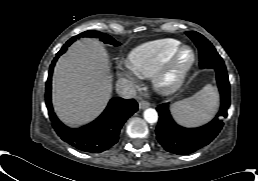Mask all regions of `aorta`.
Instances as JSON below:
<instances>
[{
  "mask_svg": "<svg viewBox=\"0 0 258 181\" xmlns=\"http://www.w3.org/2000/svg\"><path fill=\"white\" fill-rule=\"evenodd\" d=\"M144 119L148 122V123H156L158 121V113L155 109L153 108H148L144 111L143 113Z\"/></svg>",
  "mask_w": 258,
  "mask_h": 181,
  "instance_id": "obj_1",
  "label": "aorta"
}]
</instances>
